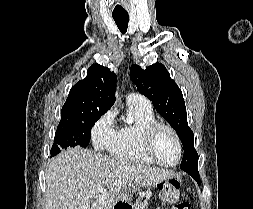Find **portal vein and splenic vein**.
<instances>
[{
  "label": "portal vein and splenic vein",
  "instance_id": "portal-vein-and-splenic-vein-1",
  "mask_svg": "<svg viewBox=\"0 0 253 209\" xmlns=\"http://www.w3.org/2000/svg\"><path fill=\"white\" fill-rule=\"evenodd\" d=\"M96 191H97V192H104L105 189L102 188V187H100V186H97Z\"/></svg>",
  "mask_w": 253,
  "mask_h": 209
}]
</instances>
